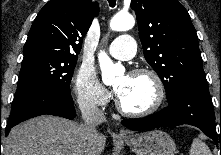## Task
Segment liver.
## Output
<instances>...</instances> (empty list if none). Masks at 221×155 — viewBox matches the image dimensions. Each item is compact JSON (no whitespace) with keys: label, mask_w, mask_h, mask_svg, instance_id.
Masks as SVG:
<instances>
[{"label":"liver","mask_w":221,"mask_h":155,"mask_svg":"<svg viewBox=\"0 0 221 155\" xmlns=\"http://www.w3.org/2000/svg\"><path fill=\"white\" fill-rule=\"evenodd\" d=\"M84 124L54 116H39L14 127L3 143V155H82ZM96 153L100 155L106 137L98 134Z\"/></svg>","instance_id":"liver-1"}]
</instances>
